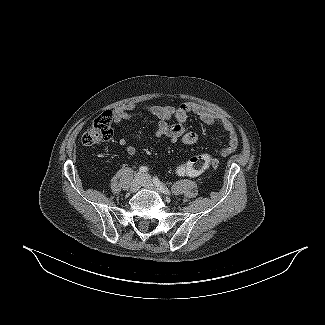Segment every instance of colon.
Returning a JSON list of instances; mask_svg holds the SVG:
<instances>
[{
	"label": "colon",
	"instance_id": "obj_1",
	"mask_svg": "<svg viewBox=\"0 0 325 325\" xmlns=\"http://www.w3.org/2000/svg\"><path fill=\"white\" fill-rule=\"evenodd\" d=\"M113 114L104 112L96 117L89 125L82 136V143L86 146H92L108 141L112 137ZM212 162L209 154H201L190 158L187 165L180 164L176 167L179 175H198L206 170Z\"/></svg>",
	"mask_w": 325,
	"mask_h": 325
}]
</instances>
